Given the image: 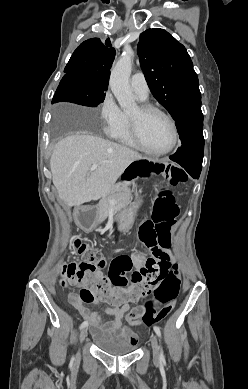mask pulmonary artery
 I'll use <instances>...</instances> for the list:
<instances>
[{"mask_svg": "<svg viewBox=\"0 0 248 389\" xmlns=\"http://www.w3.org/2000/svg\"><path fill=\"white\" fill-rule=\"evenodd\" d=\"M130 85L133 92L141 100H145L149 96V87L142 73L138 72L132 75Z\"/></svg>", "mask_w": 248, "mask_h": 389, "instance_id": "obj_1", "label": "pulmonary artery"}]
</instances>
